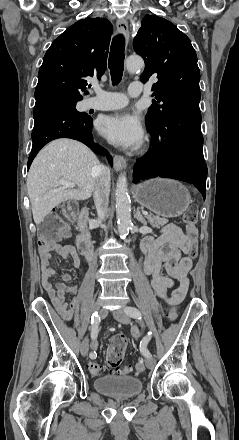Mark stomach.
Listing matches in <instances>:
<instances>
[{"mask_svg": "<svg viewBox=\"0 0 239 440\" xmlns=\"http://www.w3.org/2000/svg\"><path fill=\"white\" fill-rule=\"evenodd\" d=\"M132 192L138 204L165 218L181 216L191 204L187 188L176 180L153 178L134 186Z\"/></svg>", "mask_w": 239, "mask_h": 440, "instance_id": "0dacf381", "label": "stomach"}]
</instances>
